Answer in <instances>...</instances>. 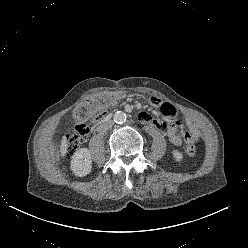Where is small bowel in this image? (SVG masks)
Segmentation results:
<instances>
[{"mask_svg": "<svg viewBox=\"0 0 248 248\" xmlns=\"http://www.w3.org/2000/svg\"><path fill=\"white\" fill-rule=\"evenodd\" d=\"M150 103L159 112V117H156L154 125L159 128L168 137L169 141L175 146H181L185 143L198 141L199 140V130L195 123L188 120L189 131L178 132L180 128V123L176 122L174 124H167L166 121H171L173 118L178 116V109L171 102H165L158 97H151ZM109 113L108 109H104L98 114L92 117V121L96 122L97 119L106 116ZM139 119L142 123H149L152 121L150 114L147 112H142L139 115Z\"/></svg>", "mask_w": 248, "mask_h": 248, "instance_id": "c3829d8e", "label": "small bowel"}]
</instances>
